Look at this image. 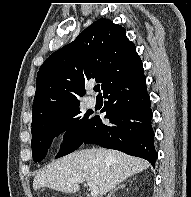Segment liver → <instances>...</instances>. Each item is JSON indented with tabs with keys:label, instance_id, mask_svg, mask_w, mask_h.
Instances as JSON below:
<instances>
[{
	"label": "liver",
	"instance_id": "6515ba94",
	"mask_svg": "<svg viewBox=\"0 0 191 197\" xmlns=\"http://www.w3.org/2000/svg\"><path fill=\"white\" fill-rule=\"evenodd\" d=\"M148 167L146 160L117 150L84 149L39 170L33 180V189L48 187L64 193H76L80 186L73 181L82 179L94 183L103 196L128 177Z\"/></svg>",
	"mask_w": 191,
	"mask_h": 197
}]
</instances>
